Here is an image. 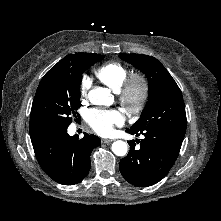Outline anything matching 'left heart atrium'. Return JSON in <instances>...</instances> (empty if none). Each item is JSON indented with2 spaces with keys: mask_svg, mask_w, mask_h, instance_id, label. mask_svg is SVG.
I'll use <instances>...</instances> for the list:
<instances>
[{
  "mask_svg": "<svg viewBox=\"0 0 221 221\" xmlns=\"http://www.w3.org/2000/svg\"><path fill=\"white\" fill-rule=\"evenodd\" d=\"M86 120L90 127L100 135H109L114 126L121 125L123 115L116 109H92L86 114Z\"/></svg>",
  "mask_w": 221,
  "mask_h": 221,
  "instance_id": "left-heart-atrium-1",
  "label": "left heart atrium"
}]
</instances>
